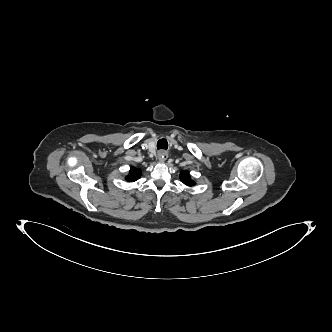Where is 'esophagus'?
Wrapping results in <instances>:
<instances>
[{
	"mask_svg": "<svg viewBox=\"0 0 332 332\" xmlns=\"http://www.w3.org/2000/svg\"><path fill=\"white\" fill-rule=\"evenodd\" d=\"M168 158V154L166 151L162 150L158 153L157 159L161 162L165 161Z\"/></svg>",
	"mask_w": 332,
	"mask_h": 332,
	"instance_id": "34e87169",
	"label": "esophagus"
}]
</instances>
